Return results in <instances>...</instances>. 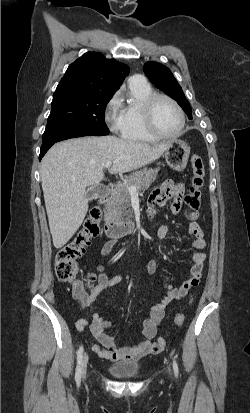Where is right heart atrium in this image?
Here are the masks:
<instances>
[{
	"label": "right heart atrium",
	"instance_id": "1",
	"mask_svg": "<svg viewBox=\"0 0 250 413\" xmlns=\"http://www.w3.org/2000/svg\"><path fill=\"white\" fill-rule=\"evenodd\" d=\"M104 119L112 132H119L122 121L121 101L119 95L114 94L106 103Z\"/></svg>",
	"mask_w": 250,
	"mask_h": 413
}]
</instances>
